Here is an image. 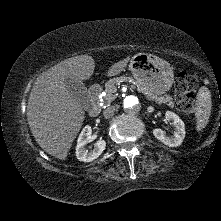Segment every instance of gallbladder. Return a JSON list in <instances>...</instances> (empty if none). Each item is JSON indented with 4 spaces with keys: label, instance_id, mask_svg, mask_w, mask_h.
I'll return each mask as SVG.
<instances>
[{
    "label": "gallbladder",
    "instance_id": "obj_1",
    "mask_svg": "<svg viewBox=\"0 0 221 221\" xmlns=\"http://www.w3.org/2000/svg\"><path fill=\"white\" fill-rule=\"evenodd\" d=\"M66 89L70 95L85 109H89L87 88L81 81L67 78L65 80Z\"/></svg>",
    "mask_w": 221,
    "mask_h": 221
}]
</instances>
